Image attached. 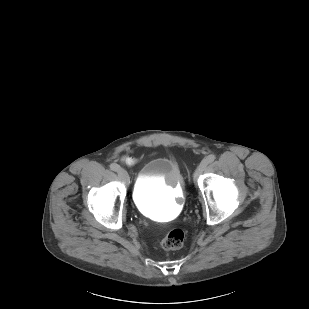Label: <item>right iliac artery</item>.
Here are the masks:
<instances>
[{
  "instance_id": "obj_1",
  "label": "right iliac artery",
  "mask_w": 309,
  "mask_h": 309,
  "mask_svg": "<svg viewBox=\"0 0 309 309\" xmlns=\"http://www.w3.org/2000/svg\"><path fill=\"white\" fill-rule=\"evenodd\" d=\"M119 168H120L119 165L115 163L110 164V169L113 171H118Z\"/></svg>"
}]
</instances>
